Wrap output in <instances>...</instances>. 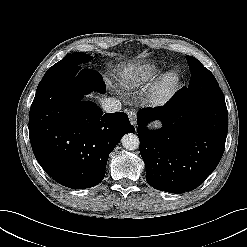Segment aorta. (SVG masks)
Segmentation results:
<instances>
[{"instance_id":"762f6f07","label":"aorta","mask_w":247,"mask_h":247,"mask_svg":"<svg viewBox=\"0 0 247 247\" xmlns=\"http://www.w3.org/2000/svg\"><path fill=\"white\" fill-rule=\"evenodd\" d=\"M122 146L127 150H136L139 147V138L134 133L125 134L121 139Z\"/></svg>"}]
</instances>
